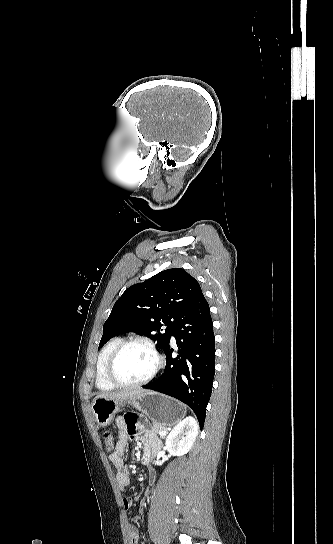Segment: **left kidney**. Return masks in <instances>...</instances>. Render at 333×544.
<instances>
[{"instance_id": "left-kidney-1", "label": "left kidney", "mask_w": 333, "mask_h": 544, "mask_svg": "<svg viewBox=\"0 0 333 544\" xmlns=\"http://www.w3.org/2000/svg\"><path fill=\"white\" fill-rule=\"evenodd\" d=\"M198 434L196 420L189 416L174 427L166 438V449L171 455L182 456L190 451Z\"/></svg>"}]
</instances>
